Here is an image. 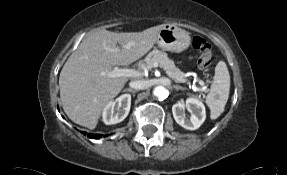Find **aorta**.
I'll list each match as a JSON object with an SVG mask.
<instances>
[{
  "mask_svg": "<svg viewBox=\"0 0 287 175\" xmlns=\"http://www.w3.org/2000/svg\"><path fill=\"white\" fill-rule=\"evenodd\" d=\"M153 93H154V95L156 97L159 98V100H164L167 97V95H168L167 89L165 87H163V86H157L154 89Z\"/></svg>",
  "mask_w": 287,
  "mask_h": 175,
  "instance_id": "762f6f07",
  "label": "aorta"
}]
</instances>
